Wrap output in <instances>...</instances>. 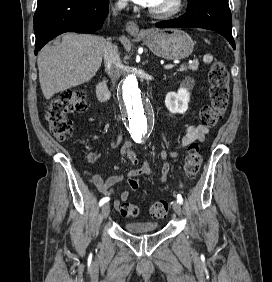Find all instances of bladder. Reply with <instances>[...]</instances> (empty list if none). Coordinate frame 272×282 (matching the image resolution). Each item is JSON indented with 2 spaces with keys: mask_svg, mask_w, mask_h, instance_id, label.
Instances as JSON below:
<instances>
[{
  "mask_svg": "<svg viewBox=\"0 0 272 282\" xmlns=\"http://www.w3.org/2000/svg\"><path fill=\"white\" fill-rule=\"evenodd\" d=\"M123 227L126 231L133 234H145L157 231L159 224L149 221H131L126 222Z\"/></svg>",
  "mask_w": 272,
  "mask_h": 282,
  "instance_id": "31cf9c89",
  "label": "bladder"
}]
</instances>
